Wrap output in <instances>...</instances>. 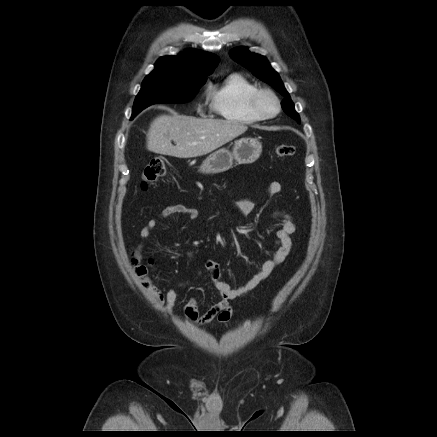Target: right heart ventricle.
<instances>
[{
	"mask_svg": "<svg viewBox=\"0 0 437 437\" xmlns=\"http://www.w3.org/2000/svg\"><path fill=\"white\" fill-rule=\"evenodd\" d=\"M258 87L239 73H233L208 88L210 106L225 120L237 124L261 121L250 108V98Z\"/></svg>",
	"mask_w": 437,
	"mask_h": 437,
	"instance_id": "e07e8e85",
	"label": "right heart ventricle"
}]
</instances>
